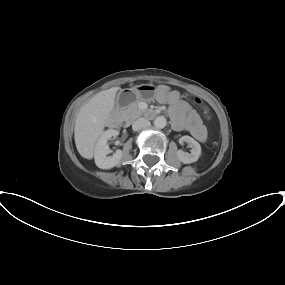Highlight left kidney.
Returning a JSON list of instances; mask_svg holds the SVG:
<instances>
[{"instance_id":"1","label":"left kidney","mask_w":285,"mask_h":285,"mask_svg":"<svg viewBox=\"0 0 285 285\" xmlns=\"http://www.w3.org/2000/svg\"><path fill=\"white\" fill-rule=\"evenodd\" d=\"M184 142L188 143L189 146L192 148L191 153L178 150L177 152L178 159L184 164H190L196 162L201 155L200 144L190 136H182L179 139L180 144H183Z\"/></svg>"}]
</instances>
